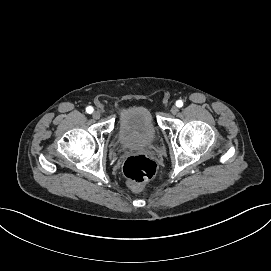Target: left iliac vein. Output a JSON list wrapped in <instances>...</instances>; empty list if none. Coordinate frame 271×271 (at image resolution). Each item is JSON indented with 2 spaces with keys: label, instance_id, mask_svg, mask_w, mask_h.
<instances>
[{
  "label": "left iliac vein",
  "instance_id": "4c4485c4",
  "mask_svg": "<svg viewBox=\"0 0 271 271\" xmlns=\"http://www.w3.org/2000/svg\"><path fill=\"white\" fill-rule=\"evenodd\" d=\"M179 111V108L177 106H172L171 109H170V112L175 115L177 114Z\"/></svg>",
  "mask_w": 271,
  "mask_h": 271
}]
</instances>
